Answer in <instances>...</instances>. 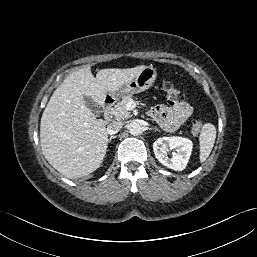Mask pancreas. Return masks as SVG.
<instances>
[{"mask_svg":"<svg viewBox=\"0 0 257 257\" xmlns=\"http://www.w3.org/2000/svg\"><path fill=\"white\" fill-rule=\"evenodd\" d=\"M130 101H133L132 97L130 95L125 96L112 108L111 114L115 116L116 120H124L132 116L127 108V104Z\"/></svg>","mask_w":257,"mask_h":257,"instance_id":"obj_1","label":"pancreas"}]
</instances>
